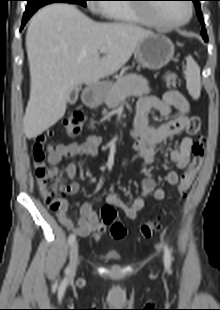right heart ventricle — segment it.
<instances>
[{
  "mask_svg": "<svg viewBox=\"0 0 220 310\" xmlns=\"http://www.w3.org/2000/svg\"><path fill=\"white\" fill-rule=\"evenodd\" d=\"M122 1V0H115ZM101 12L111 20L130 23L142 24L147 26H156L152 18L142 15L137 8L129 5L105 4L101 6Z\"/></svg>",
  "mask_w": 220,
  "mask_h": 310,
  "instance_id": "obj_1",
  "label": "right heart ventricle"
}]
</instances>
